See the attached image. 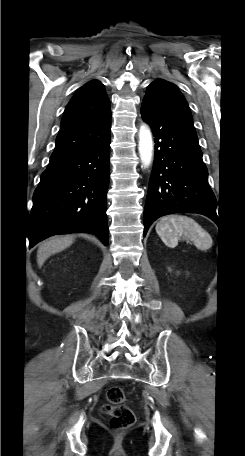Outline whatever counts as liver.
Masks as SVG:
<instances>
[{"mask_svg":"<svg viewBox=\"0 0 245 456\" xmlns=\"http://www.w3.org/2000/svg\"><path fill=\"white\" fill-rule=\"evenodd\" d=\"M74 241L73 236L66 235L54 237L41 243L37 251V263L41 267L44 262L53 254L63 251Z\"/></svg>","mask_w":245,"mask_h":456,"instance_id":"liver-1","label":"liver"}]
</instances>
